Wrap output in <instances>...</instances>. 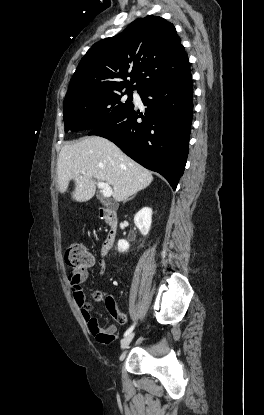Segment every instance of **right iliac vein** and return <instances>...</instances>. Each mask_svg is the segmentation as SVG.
I'll return each instance as SVG.
<instances>
[{"instance_id":"63e3f726","label":"right iliac vein","mask_w":264,"mask_h":415,"mask_svg":"<svg viewBox=\"0 0 264 415\" xmlns=\"http://www.w3.org/2000/svg\"><path fill=\"white\" fill-rule=\"evenodd\" d=\"M134 333H130L129 335H127L122 341H121V349L124 350L125 348L128 347V345L130 344V342L132 341V339L134 338Z\"/></svg>"}]
</instances>
